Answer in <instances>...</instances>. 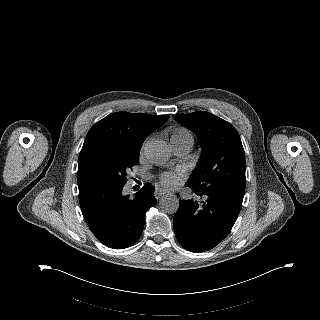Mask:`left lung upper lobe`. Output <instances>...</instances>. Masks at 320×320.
<instances>
[{
    "label": "left lung upper lobe",
    "mask_w": 320,
    "mask_h": 320,
    "mask_svg": "<svg viewBox=\"0 0 320 320\" xmlns=\"http://www.w3.org/2000/svg\"><path fill=\"white\" fill-rule=\"evenodd\" d=\"M175 120L194 132L202 153L187 186L196 192L229 186L245 191V152L237 130L209 113L176 115Z\"/></svg>",
    "instance_id": "1"
}]
</instances>
